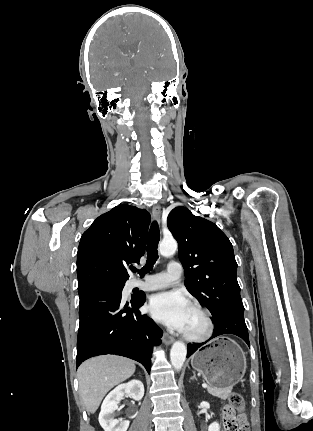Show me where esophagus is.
<instances>
[{"label": "esophagus", "mask_w": 313, "mask_h": 431, "mask_svg": "<svg viewBox=\"0 0 313 431\" xmlns=\"http://www.w3.org/2000/svg\"><path fill=\"white\" fill-rule=\"evenodd\" d=\"M160 214H161V207H160V205L159 204L154 205L153 208H152V215H153V217L155 219H159ZM163 342L166 345H170V344H172L174 342V338L171 335H169L168 333H164L163 334Z\"/></svg>", "instance_id": "34e87169"}]
</instances>
